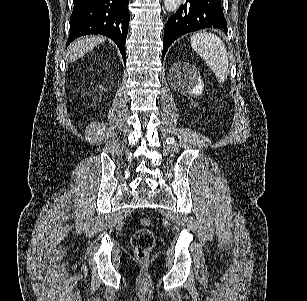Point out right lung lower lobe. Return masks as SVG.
Masks as SVG:
<instances>
[{"label":"right lung lower lobe","mask_w":307,"mask_h":301,"mask_svg":"<svg viewBox=\"0 0 307 301\" xmlns=\"http://www.w3.org/2000/svg\"><path fill=\"white\" fill-rule=\"evenodd\" d=\"M128 3L129 0H74L67 46L83 35H105L116 43L125 61L130 20Z\"/></svg>","instance_id":"98d812e1"}]
</instances>
